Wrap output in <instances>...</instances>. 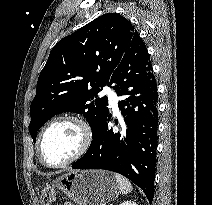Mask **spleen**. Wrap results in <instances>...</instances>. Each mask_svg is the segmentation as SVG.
Masks as SVG:
<instances>
[{"label":"spleen","mask_w":212,"mask_h":205,"mask_svg":"<svg viewBox=\"0 0 212 205\" xmlns=\"http://www.w3.org/2000/svg\"><path fill=\"white\" fill-rule=\"evenodd\" d=\"M114 177L116 179L121 194H128L132 191V185L127 178L117 173L114 174Z\"/></svg>","instance_id":"obj_1"}]
</instances>
